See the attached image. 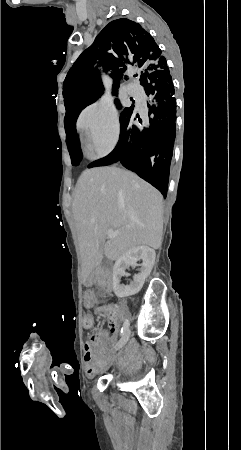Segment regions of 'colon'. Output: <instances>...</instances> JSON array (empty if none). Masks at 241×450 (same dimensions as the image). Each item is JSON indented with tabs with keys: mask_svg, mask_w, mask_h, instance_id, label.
I'll return each mask as SVG.
<instances>
[{
	"mask_svg": "<svg viewBox=\"0 0 241 450\" xmlns=\"http://www.w3.org/2000/svg\"><path fill=\"white\" fill-rule=\"evenodd\" d=\"M109 306L100 308L96 311V313L99 315H103L106 313H109L110 315H115L116 312L120 309L118 307V303L114 300L110 301ZM117 310V311H116ZM79 325L84 326L86 329L93 328V315L86 314L79 316Z\"/></svg>",
	"mask_w": 241,
	"mask_h": 450,
	"instance_id": "1",
	"label": "colon"
}]
</instances>
